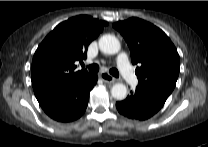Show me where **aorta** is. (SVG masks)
<instances>
[{"label": "aorta", "mask_w": 208, "mask_h": 147, "mask_svg": "<svg viewBox=\"0 0 208 147\" xmlns=\"http://www.w3.org/2000/svg\"><path fill=\"white\" fill-rule=\"evenodd\" d=\"M120 47V42L114 35L105 34L99 39V48L105 54H116L120 51ZM111 95L117 100H124L127 97L126 86L122 83H116L111 88Z\"/></svg>", "instance_id": "aorta-1"}]
</instances>
